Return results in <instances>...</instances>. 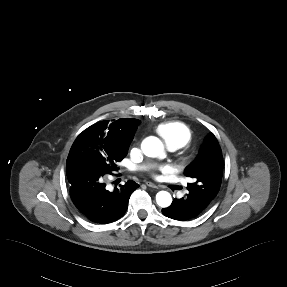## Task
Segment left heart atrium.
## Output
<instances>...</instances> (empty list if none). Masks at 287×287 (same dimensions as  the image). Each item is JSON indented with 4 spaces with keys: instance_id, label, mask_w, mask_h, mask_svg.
Masks as SVG:
<instances>
[{
    "instance_id": "39dd6f15",
    "label": "left heart atrium",
    "mask_w": 287,
    "mask_h": 287,
    "mask_svg": "<svg viewBox=\"0 0 287 287\" xmlns=\"http://www.w3.org/2000/svg\"><path fill=\"white\" fill-rule=\"evenodd\" d=\"M154 176L157 178L159 177L158 173L162 174H170L172 173V168L169 165H160L153 169Z\"/></svg>"
}]
</instances>
